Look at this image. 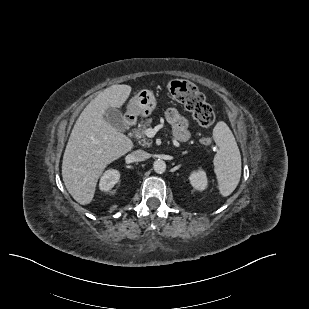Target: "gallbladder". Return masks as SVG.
<instances>
[{
	"mask_svg": "<svg viewBox=\"0 0 309 309\" xmlns=\"http://www.w3.org/2000/svg\"><path fill=\"white\" fill-rule=\"evenodd\" d=\"M105 120L116 128L118 131H125L127 129V124L123 119L121 111L117 108H109L104 114Z\"/></svg>",
	"mask_w": 309,
	"mask_h": 309,
	"instance_id": "gallbladder-1",
	"label": "gallbladder"
}]
</instances>
